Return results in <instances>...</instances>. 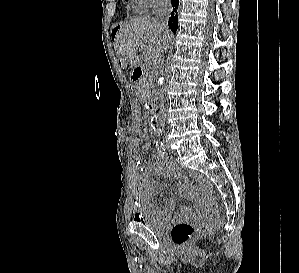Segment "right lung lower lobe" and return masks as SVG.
<instances>
[{"instance_id":"obj_1","label":"right lung lower lobe","mask_w":299,"mask_h":273,"mask_svg":"<svg viewBox=\"0 0 299 273\" xmlns=\"http://www.w3.org/2000/svg\"><path fill=\"white\" fill-rule=\"evenodd\" d=\"M173 11L171 13V16L169 18V28L175 33L177 31V25H178V15H177V8L179 5V0H171Z\"/></svg>"}]
</instances>
